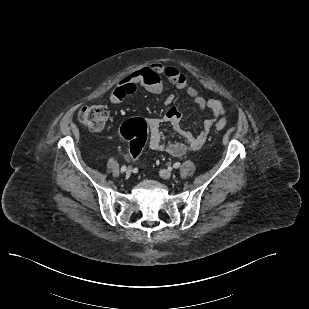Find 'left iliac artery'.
Returning a JSON list of instances; mask_svg holds the SVG:
<instances>
[{"instance_id":"obj_1","label":"left iliac artery","mask_w":309,"mask_h":309,"mask_svg":"<svg viewBox=\"0 0 309 309\" xmlns=\"http://www.w3.org/2000/svg\"><path fill=\"white\" fill-rule=\"evenodd\" d=\"M181 166L180 162H176L173 164V168L177 169Z\"/></svg>"}]
</instances>
